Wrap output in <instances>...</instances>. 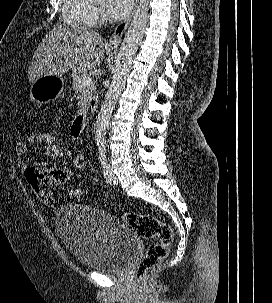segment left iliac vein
I'll use <instances>...</instances> for the list:
<instances>
[{
    "label": "left iliac vein",
    "instance_id": "left-iliac-vein-1",
    "mask_svg": "<svg viewBox=\"0 0 272 303\" xmlns=\"http://www.w3.org/2000/svg\"><path fill=\"white\" fill-rule=\"evenodd\" d=\"M104 178L109 184L112 185H117L118 184V179L115 176V174L112 171V168L110 165H105L104 170H103Z\"/></svg>",
    "mask_w": 272,
    "mask_h": 303
}]
</instances>
